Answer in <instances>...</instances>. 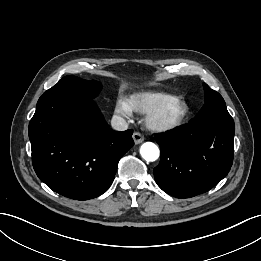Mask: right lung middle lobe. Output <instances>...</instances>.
<instances>
[{"label": "right lung middle lobe", "instance_id": "1", "mask_svg": "<svg viewBox=\"0 0 261 261\" xmlns=\"http://www.w3.org/2000/svg\"><path fill=\"white\" fill-rule=\"evenodd\" d=\"M102 86L95 80L85 81L75 76H65L42 96H66L76 99H94Z\"/></svg>", "mask_w": 261, "mask_h": 261}]
</instances>
